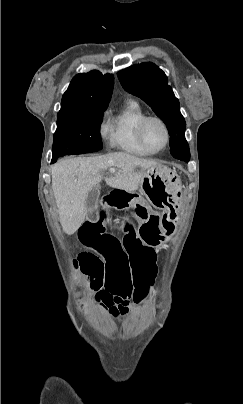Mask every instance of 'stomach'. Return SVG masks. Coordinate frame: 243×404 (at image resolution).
<instances>
[{
    "label": "stomach",
    "mask_w": 243,
    "mask_h": 404,
    "mask_svg": "<svg viewBox=\"0 0 243 404\" xmlns=\"http://www.w3.org/2000/svg\"><path fill=\"white\" fill-rule=\"evenodd\" d=\"M140 190L146 200L139 196L130 203L139 222V238L148 247L161 246L176 229L181 180L174 171L156 164L144 172ZM151 206L163 212L158 213Z\"/></svg>",
    "instance_id": "0dacf381"
}]
</instances>
